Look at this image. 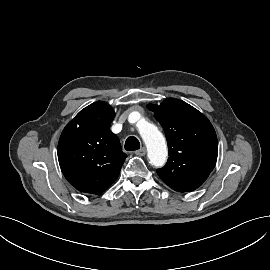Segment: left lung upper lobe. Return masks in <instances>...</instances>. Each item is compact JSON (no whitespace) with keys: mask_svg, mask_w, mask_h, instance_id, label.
I'll return each mask as SVG.
<instances>
[{"mask_svg":"<svg viewBox=\"0 0 270 270\" xmlns=\"http://www.w3.org/2000/svg\"><path fill=\"white\" fill-rule=\"evenodd\" d=\"M147 108L162 125L169 149L168 162L157 174L178 192L197 189L216 164L218 143L212 124L197 109L175 98Z\"/></svg>","mask_w":270,"mask_h":270,"instance_id":"obj_1","label":"left lung upper lobe"}]
</instances>
